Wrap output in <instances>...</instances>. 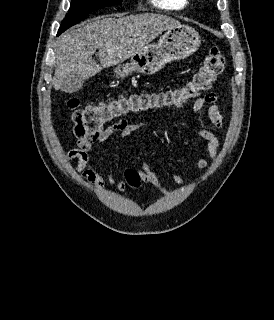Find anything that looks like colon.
Segmentation results:
<instances>
[{
    "mask_svg": "<svg viewBox=\"0 0 274 320\" xmlns=\"http://www.w3.org/2000/svg\"><path fill=\"white\" fill-rule=\"evenodd\" d=\"M226 65L225 57L218 47L208 50L203 64L197 73L185 85L162 92L157 96L122 95L109 102L98 105H86L80 108L77 98H69L66 102L70 112V133L96 136L102 127H119L123 117L154 107L182 106L209 90L222 73ZM125 179L134 187L140 185V175L135 169L125 172Z\"/></svg>",
    "mask_w": 274,
    "mask_h": 320,
    "instance_id": "colon-1",
    "label": "colon"
}]
</instances>
